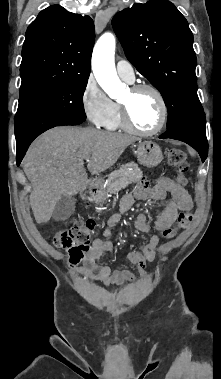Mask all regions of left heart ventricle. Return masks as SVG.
<instances>
[{
    "mask_svg": "<svg viewBox=\"0 0 221 379\" xmlns=\"http://www.w3.org/2000/svg\"><path fill=\"white\" fill-rule=\"evenodd\" d=\"M121 102L127 105L131 121L137 128L150 130L157 125L160 108L153 93L143 91L133 94L129 90Z\"/></svg>",
    "mask_w": 221,
    "mask_h": 379,
    "instance_id": "b2bd125f",
    "label": "left heart ventricle"
}]
</instances>
